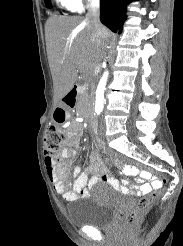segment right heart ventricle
Segmentation results:
<instances>
[{
    "label": "right heart ventricle",
    "instance_id": "right-heart-ventricle-1",
    "mask_svg": "<svg viewBox=\"0 0 183 246\" xmlns=\"http://www.w3.org/2000/svg\"><path fill=\"white\" fill-rule=\"evenodd\" d=\"M57 5L61 8H65L67 10H75L73 3L70 0H55Z\"/></svg>",
    "mask_w": 183,
    "mask_h": 246
}]
</instances>
